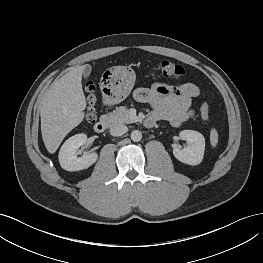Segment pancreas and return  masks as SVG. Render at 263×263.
<instances>
[{"label":"pancreas","instance_id":"cf45deb5","mask_svg":"<svg viewBox=\"0 0 263 263\" xmlns=\"http://www.w3.org/2000/svg\"><path fill=\"white\" fill-rule=\"evenodd\" d=\"M106 117L112 126L123 123L130 124L136 121L125 106L117 107L114 111L107 114Z\"/></svg>","mask_w":263,"mask_h":263}]
</instances>
